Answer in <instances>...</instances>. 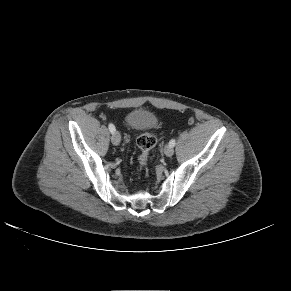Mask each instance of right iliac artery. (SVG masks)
<instances>
[{
  "label": "right iliac artery",
  "mask_w": 291,
  "mask_h": 291,
  "mask_svg": "<svg viewBox=\"0 0 291 291\" xmlns=\"http://www.w3.org/2000/svg\"><path fill=\"white\" fill-rule=\"evenodd\" d=\"M108 127L111 133L115 132V126L112 123H110Z\"/></svg>",
  "instance_id": "82829eb1"
}]
</instances>
